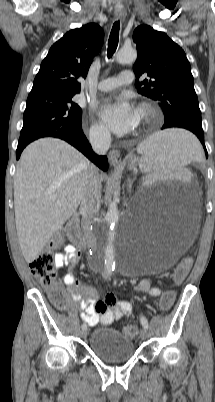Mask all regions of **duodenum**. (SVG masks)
<instances>
[{
	"mask_svg": "<svg viewBox=\"0 0 215 402\" xmlns=\"http://www.w3.org/2000/svg\"><path fill=\"white\" fill-rule=\"evenodd\" d=\"M65 233L68 239L77 247L87 250L89 248L88 240L82 235L79 229V217L73 215L65 224Z\"/></svg>",
	"mask_w": 215,
	"mask_h": 402,
	"instance_id": "duodenum-1",
	"label": "duodenum"
}]
</instances>
